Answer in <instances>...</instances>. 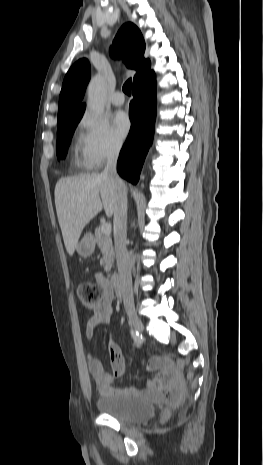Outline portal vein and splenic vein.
<instances>
[{
	"label": "portal vein and splenic vein",
	"mask_w": 263,
	"mask_h": 465,
	"mask_svg": "<svg viewBox=\"0 0 263 465\" xmlns=\"http://www.w3.org/2000/svg\"><path fill=\"white\" fill-rule=\"evenodd\" d=\"M101 231H102L103 234H110L111 233V225L107 224V223L102 224Z\"/></svg>",
	"instance_id": "portal-vein-and-splenic-vein-1"
}]
</instances>
